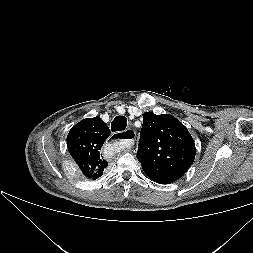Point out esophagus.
<instances>
[{
	"mask_svg": "<svg viewBox=\"0 0 253 253\" xmlns=\"http://www.w3.org/2000/svg\"><path fill=\"white\" fill-rule=\"evenodd\" d=\"M118 134L120 135L121 138L116 137ZM135 137H136V133L132 129H127L123 132H118L113 135L114 140L122 141L127 147H130L133 145Z\"/></svg>",
	"mask_w": 253,
	"mask_h": 253,
	"instance_id": "1",
	"label": "esophagus"
}]
</instances>
